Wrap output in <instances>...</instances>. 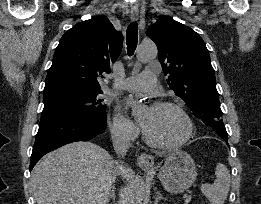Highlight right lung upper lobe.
I'll return each mask as SVG.
<instances>
[{
  "label": "right lung upper lobe",
  "mask_w": 261,
  "mask_h": 204,
  "mask_svg": "<svg viewBox=\"0 0 261 204\" xmlns=\"http://www.w3.org/2000/svg\"><path fill=\"white\" fill-rule=\"evenodd\" d=\"M123 36L106 16L77 23L62 36L43 94L63 90H101L103 72L121 53Z\"/></svg>",
  "instance_id": "right-lung-upper-lobe-1"
}]
</instances>
